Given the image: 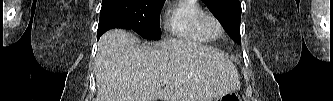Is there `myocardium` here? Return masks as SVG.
Returning a JSON list of instances; mask_svg holds the SVG:
<instances>
[{"label": "myocardium", "instance_id": "obj_1", "mask_svg": "<svg viewBox=\"0 0 333 101\" xmlns=\"http://www.w3.org/2000/svg\"><path fill=\"white\" fill-rule=\"evenodd\" d=\"M205 31L211 38L217 39L224 34V27L220 19L213 13H205L202 18Z\"/></svg>", "mask_w": 333, "mask_h": 101}]
</instances>
